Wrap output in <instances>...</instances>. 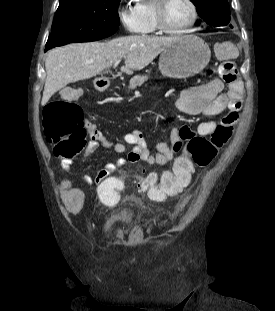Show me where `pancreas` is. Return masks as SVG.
I'll return each mask as SVG.
<instances>
[{
    "label": "pancreas",
    "instance_id": "obj_1",
    "mask_svg": "<svg viewBox=\"0 0 275 311\" xmlns=\"http://www.w3.org/2000/svg\"><path fill=\"white\" fill-rule=\"evenodd\" d=\"M147 80H148L147 75L143 76L137 75L130 80L129 89H135L136 87L141 86Z\"/></svg>",
    "mask_w": 275,
    "mask_h": 311
}]
</instances>
